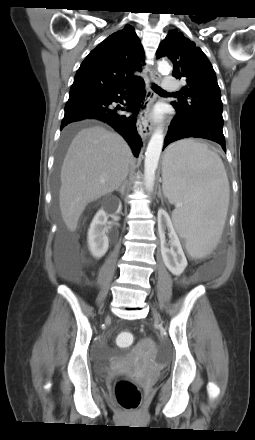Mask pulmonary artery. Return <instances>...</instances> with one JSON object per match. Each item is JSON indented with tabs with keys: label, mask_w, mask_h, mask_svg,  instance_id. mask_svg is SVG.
Wrapping results in <instances>:
<instances>
[{
	"label": "pulmonary artery",
	"mask_w": 255,
	"mask_h": 440,
	"mask_svg": "<svg viewBox=\"0 0 255 440\" xmlns=\"http://www.w3.org/2000/svg\"><path fill=\"white\" fill-rule=\"evenodd\" d=\"M163 87L167 92H173L178 89V84L173 76H166L163 81Z\"/></svg>",
	"instance_id": "obj_1"
}]
</instances>
